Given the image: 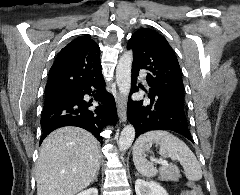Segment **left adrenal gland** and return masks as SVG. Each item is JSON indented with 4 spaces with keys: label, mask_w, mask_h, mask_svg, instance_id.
<instances>
[{
    "label": "left adrenal gland",
    "mask_w": 240,
    "mask_h": 195,
    "mask_svg": "<svg viewBox=\"0 0 240 195\" xmlns=\"http://www.w3.org/2000/svg\"><path fill=\"white\" fill-rule=\"evenodd\" d=\"M135 175H140V173H137V171H136Z\"/></svg>",
    "instance_id": "obj_1"
}]
</instances>
